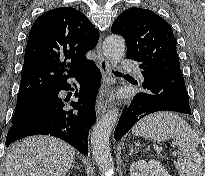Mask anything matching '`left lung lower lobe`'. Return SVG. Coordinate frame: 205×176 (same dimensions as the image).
I'll return each mask as SVG.
<instances>
[{
  "mask_svg": "<svg viewBox=\"0 0 205 176\" xmlns=\"http://www.w3.org/2000/svg\"><path fill=\"white\" fill-rule=\"evenodd\" d=\"M143 91L126 105L114 137L119 140L139 120L157 111H175L190 114L188 94L180 68L143 71Z\"/></svg>",
  "mask_w": 205,
  "mask_h": 176,
  "instance_id": "left-lung-lower-lobe-1",
  "label": "left lung lower lobe"
}]
</instances>
